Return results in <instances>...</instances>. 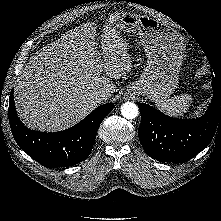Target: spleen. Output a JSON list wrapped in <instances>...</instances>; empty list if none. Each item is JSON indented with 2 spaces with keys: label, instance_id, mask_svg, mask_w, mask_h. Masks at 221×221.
Masks as SVG:
<instances>
[{
  "label": "spleen",
  "instance_id": "obj_1",
  "mask_svg": "<svg viewBox=\"0 0 221 221\" xmlns=\"http://www.w3.org/2000/svg\"><path fill=\"white\" fill-rule=\"evenodd\" d=\"M191 102L192 98L190 95L182 94L167 100L157 101L156 106L159 110L170 116L182 117L187 113Z\"/></svg>",
  "mask_w": 221,
  "mask_h": 221
}]
</instances>
